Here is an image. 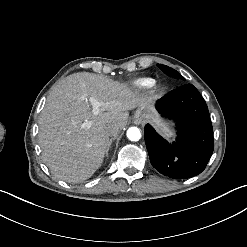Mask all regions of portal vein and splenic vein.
Masks as SVG:
<instances>
[{
	"instance_id": "obj_1",
	"label": "portal vein and splenic vein",
	"mask_w": 247,
	"mask_h": 247,
	"mask_svg": "<svg viewBox=\"0 0 247 247\" xmlns=\"http://www.w3.org/2000/svg\"><path fill=\"white\" fill-rule=\"evenodd\" d=\"M81 98L90 103L91 108H92V115L93 116H98L101 113V110H100L101 103H100V101H98L96 98L88 96V95H82ZM92 125H93V121L92 120H86L84 122V124L82 125V129H89V128L92 127Z\"/></svg>"
}]
</instances>
